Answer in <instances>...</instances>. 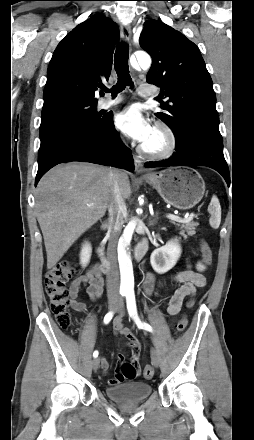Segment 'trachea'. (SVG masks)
Masks as SVG:
<instances>
[{
    "label": "trachea",
    "mask_w": 254,
    "mask_h": 440,
    "mask_svg": "<svg viewBox=\"0 0 254 440\" xmlns=\"http://www.w3.org/2000/svg\"><path fill=\"white\" fill-rule=\"evenodd\" d=\"M129 48L126 43H121L115 52L114 67L118 75V82L110 90L113 97L117 96L119 92L125 89L126 86H133L132 79L128 68ZM105 91L108 89L103 88Z\"/></svg>",
    "instance_id": "trachea-1"
}]
</instances>
